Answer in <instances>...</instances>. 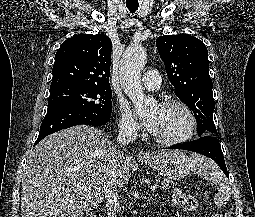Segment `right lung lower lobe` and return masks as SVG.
Wrapping results in <instances>:
<instances>
[{
  "label": "right lung lower lobe",
  "instance_id": "98d812e1",
  "mask_svg": "<svg viewBox=\"0 0 255 217\" xmlns=\"http://www.w3.org/2000/svg\"><path fill=\"white\" fill-rule=\"evenodd\" d=\"M109 120L110 116L99 115L73 105L54 104L48 106L47 114L42 121L39 136L35 144L39 143L49 134L74 125L101 126Z\"/></svg>",
  "mask_w": 255,
  "mask_h": 217
}]
</instances>
